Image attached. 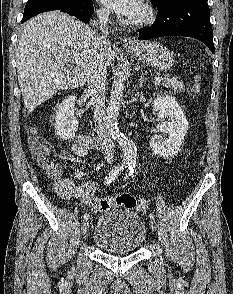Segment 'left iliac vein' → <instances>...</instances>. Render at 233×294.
I'll return each instance as SVG.
<instances>
[{"instance_id": "4c4485c4", "label": "left iliac vein", "mask_w": 233, "mask_h": 294, "mask_svg": "<svg viewBox=\"0 0 233 294\" xmlns=\"http://www.w3.org/2000/svg\"><path fill=\"white\" fill-rule=\"evenodd\" d=\"M149 225H150V228L153 230V231H156L157 230V224H156V221L154 219H150L149 220Z\"/></svg>"}]
</instances>
